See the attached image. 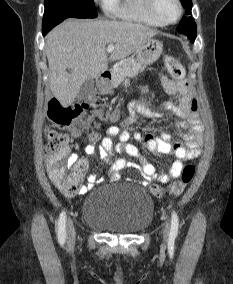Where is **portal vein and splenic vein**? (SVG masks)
Returning a JSON list of instances; mask_svg holds the SVG:
<instances>
[{"label": "portal vein and splenic vein", "instance_id": "portal-vein-and-splenic-vein-1", "mask_svg": "<svg viewBox=\"0 0 233 284\" xmlns=\"http://www.w3.org/2000/svg\"><path fill=\"white\" fill-rule=\"evenodd\" d=\"M114 49H115V46H114V45H108V47H107V52H108V53H111V52L114 51Z\"/></svg>", "mask_w": 233, "mask_h": 284}]
</instances>
